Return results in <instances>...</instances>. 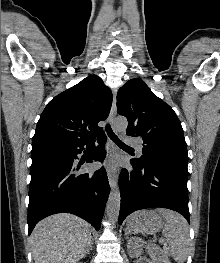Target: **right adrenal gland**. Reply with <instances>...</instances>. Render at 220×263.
<instances>
[{
	"instance_id": "right-adrenal-gland-1",
	"label": "right adrenal gland",
	"mask_w": 220,
	"mask_h": 263,
	"mask_svg": "<svg viewBox=\"0 0 220 263\" xmlns=\"http://www.w3.org/2000/svg\"><path fill=\"white\" fill-rule=\"evenodd\" d=\"M92 247H93V239L91 240L90 245L87 248L86 255L89 254L90 250H92Z\"/></svg>"
}]
</instances>
